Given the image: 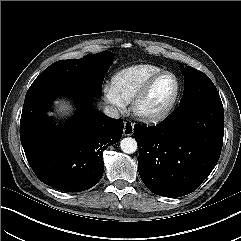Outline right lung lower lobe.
Segmentation results:
<instances>
[{
  "instance_id": "obj_1",
  "label": "right lung lower lobe",
  "mask_w": 241,
  "mask_h": 241,
  "mask_svg": "<svg viewBox=\"0 0 241 241\" xmlns=\"http://www.w3.org/2000/svg\"><path fill=\"white\" fill-rule=\"evenodd\" d=\"M61 93L76 100L78 113L54 126L47 111L53 97ZM93 96L69 80L31 86L26 93L21 143L36 176L55 189L80 192L96 185L104 171L103 151L122 136L123 121L92 109Z\"/></svg>"
}]
</instances>
